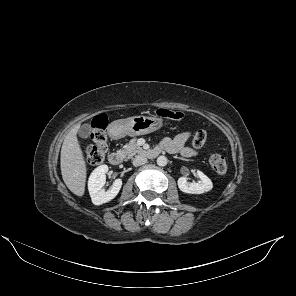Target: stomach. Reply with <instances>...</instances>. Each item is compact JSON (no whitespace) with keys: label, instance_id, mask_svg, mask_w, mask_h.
<instances>
[{"label":"stomach","instance_id":"1","mask_svg":"<svg viewBox=\"0 0 296 296\" xmlns=\"http://www.w3.org/2000/svg\"><path fill=\"white\" fill-rule=\"evenodd\" d=\"M163 121L159 117L133 116L113 122L115 131L120 136H137L154 132L160 129Z\"/></svg>","mask_w":296,"mask_h":296}]
</instances>
